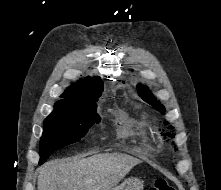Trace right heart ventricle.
Masks as SVG:
<instances>
[{
	"label": "right heart ventricle",
	"instance_id": "obj_1",
	"mask_svg": "<svg viewBox=\"0 0 221 190\" xmlns=\"http://www.w3.org/2000/svg\"><path fill=\"white\" fill-rule=\"evenodd\" d=\"M129 126H133V124H132V123H129Z\"/></svg>",
	"mask_w": 221,
	"mask_h": 190
}]
</instances>
